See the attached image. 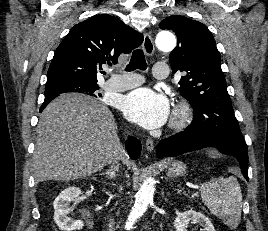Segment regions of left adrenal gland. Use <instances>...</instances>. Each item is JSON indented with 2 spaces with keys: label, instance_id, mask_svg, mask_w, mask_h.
Segmentation results:
<instances>
[{
  "label": "left adrenal gland",
  "instance_id": "1",
  "mask_svg": "<svg viewBox=\"0 0 268 231\" xmlns=\"http://www.w3.org/2000/svg\"><path fill=\"white\" fill-rule=\"evenodd\" d=\"M175 190H177L178 192H181L179 189H175Z\"/></svg>",
  "mask_w": 268,
  "mask_h": 231
}]
</instances>
